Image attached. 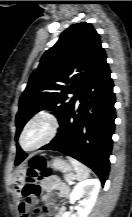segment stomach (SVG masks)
<instances>
[{
	"label": "stomach",
	"instance_id": "1",
	"mask_svg": "<svg viewBox=\"0 0 132 217\" xmlns=\"http://www.w3.org/2000/svg\"><path fill=\"white\" fill-rule=\"evenodd\" d=\"M51 166L55 170L61 171L63 173H69L72 171V166L70 165V163L60 157L54 158L51 162ZM25 177H26V170H21L17 178L15 179V184L17 186H20V184L24 182Z\"/></svg>",
	"mask_w": 132,
	"mask_h": 217
}]
</instances>
